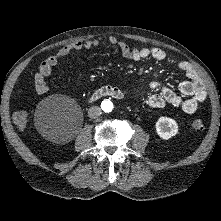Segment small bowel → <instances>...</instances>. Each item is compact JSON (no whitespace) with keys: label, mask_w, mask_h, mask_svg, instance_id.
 I'll use <instances>...</instances> for the list:
<instances>
[{"label":"small bowel","mask_w":221,"mask_h":221,"mask_svg":"<svg viewBox=\"0 0 221 221\" xmlns=\"http://www.w3.org/2000/svg\"><path fill=\"white\" fill-rule=\"evenodd\" d=\"M102 43L103 40L101 38L76 41L64 46L54 55L46 58L40 64L39 70L34 76L36 93L42 95L49 91L45 79L52 73L59 61L74 52L90 50L100 46ZM106 43L111 46H117L125 58L133 61H142L152 58L158 63H164L167 59L166 53L157 47H130L125 41L118 40L114 36L108 37ZM177 66L186 75V79L179 85L180 93L184 97L160 82L154 81L149 84V87L157 91V93L150 95L146 100V104L148 107L156 109L171 105L181 108L187 114H193L197 111L198 107L206 101L207 92L198 73L189 63L181 61Z\"/></svg>","instance_id":"c3829d8e"}]
</instances>
